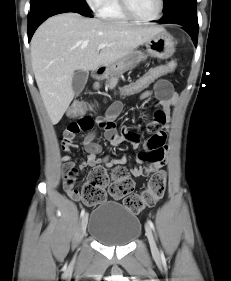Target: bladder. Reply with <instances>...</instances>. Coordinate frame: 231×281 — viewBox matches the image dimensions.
<instances>
[{"mask_svg":"<svg viewBox=\"0 0 231 281\" xmlns=\"http://www.w3.org/2000/svg\"><path fill=\"white\" fill-rule=\"evenodd\" d=\"M88 233L103 245L125 246L140 235L141 222L120 203L104 202L92 211Z\"/></svg>","mask_w":231,"mask_h":281,"instance_id":"obj_1","label":"bladder"}]
</instances>
